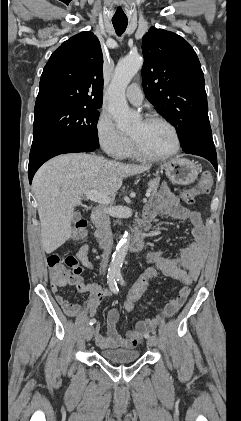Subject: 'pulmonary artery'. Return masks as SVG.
<instances>
[{
    "instance_id": "obj_1",
    "label": "pulmonary artery",
    "mask_w": 241,
    "mask_h": 421,
    "mask_svg": "<svg viewBox=\"0 0 241 421\" xmlns=\"http://www.w3.org/2000/svg\"><path fill=\"white\" fill-rule=\"evenodd\" d=\"M126 98L134 105H140L142 103L143 93L137 83H133L127 88Z\"/></svg>"
}]
</instances>
